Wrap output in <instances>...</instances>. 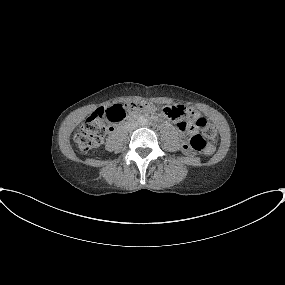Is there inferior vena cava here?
Wrapping results in <instances>:
<instances>
[{"mask_svg": "<svg viewBox=\"0 0 285 285\" xmlns=\"http://www.w3.org/2000/svg\"><path fill=\"white\" fill-rule=\"evenodd\" d=\"M137 127H138V123H137V122L129 123V124L127 125V130H128V131H131V130L136 129Z\"/></svg>", "mask_w": 285, "mask_h": 285, "instance_id": "inferior-vena-cava-1", "label": "inferior vena cava"}]
</instances>
